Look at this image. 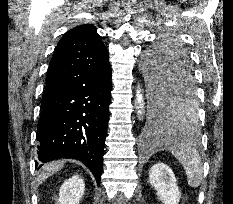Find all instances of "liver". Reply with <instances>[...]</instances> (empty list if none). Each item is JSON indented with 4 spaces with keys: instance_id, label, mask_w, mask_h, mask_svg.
I'll use <instances>...</instances> for the list:
<instances>
[{
    "instance_id": "6515ba94",
    "label": "liver",
    "mask_w": 233,
    "mask_h": 204,
    "mask_svg": "<svg viewBox=\"0 0 233 204\" xmlns=\"http://www.w3.org/2000/svg\"><path fill=\"white\" fill-rule=\"evenodd\" d=\"M65 162L64 161H53L47 165H44L42 167L41 173L38 175L37 181L38 184H41L45 179H47L49 176H51L53 173L59 171L64 167Z\"/></svg>"
}]
</instances>
